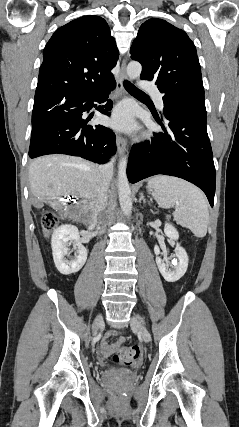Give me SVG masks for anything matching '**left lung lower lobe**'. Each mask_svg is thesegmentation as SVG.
Returning <instances> with one entry per match:
<instances>
[{
    "instance_id": "1",
    "label": "left lung lower lobe",
    "mask_w": 239,
    "mask_h": 427,
    "mask_svg": "<svg viewBox=\"0 0 239 427\" xmlns=\"http://www.w3.org/2000/svg\"><path fill=\"white\" fill-rule=\"evenodd\" d=\"M163 115L154 116L164 132L151 141L134 145L127 166L130 183L165 174L185 179L206 194L214 204L216 173L206 129V109L163 96Z\"/></svg>"
}]
</instances>
